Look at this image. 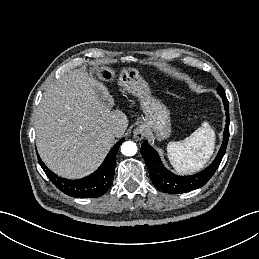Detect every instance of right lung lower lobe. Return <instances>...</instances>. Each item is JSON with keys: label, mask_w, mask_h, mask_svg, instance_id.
Segmentation results:
<instances>
[{"label": "right lung lower lobe", "mask_w": 259, "mask_h": 259, "mask_svg": "<svg viewBox=\"0 0 259 259\" xmlns=\"http://www.w3.org/2000/svg\"><path fill=\"white\" fill-rule=\"evenodd\" d=\"M124 138L116 143L103 164L90 176L78 180H68L61 178L50 171L46 165L41 161L38 155V161L47 177L52 183L63 193L77 198H94L106 193L113 184L115 163L117 151Z\"/></svg>", "instance_id": "obj_1"}]
</instances>
